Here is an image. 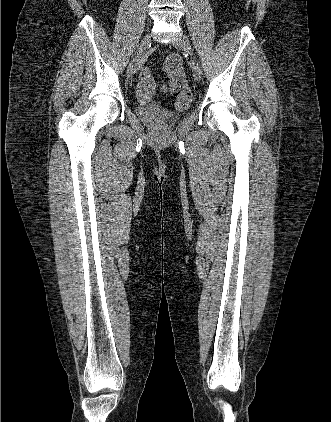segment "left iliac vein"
Masks as SVG:
<instances>
[{
	"instance_id": "1",
	"label": "left iliac vein",
	"mask_w": 331,
	"mask_h": 422,
	"mask_svg": "<svg viewBox=\"0 0 331 422\" xmlns=\"http://www.w3.org/2000/svg\"><path fill=\"white\" fill-rule=\"evenodd\" d=\"M174 47L184 50L187 53H191V44L188 40V38L183 35L179 38H177L174 42H173ZM192 70H193V75L195 77L196 80H200L201 76H202V70L200 65L198 64V62L193 59L192 61Z\"/></svg>"
}]
</instances>
